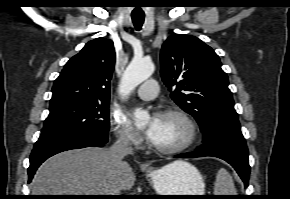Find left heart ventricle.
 Here are the masks:
<instances>
[{
	"instance_id": "1",
	"label": "left heart ventricle",
	"mask_w": 290,
	"mask_h": 199,
	"mask_svg": "<svg viewBox=\"0 0 290 199\" xmlns=\"http://www.w3.org/2000/svg\"><path fill=\"white\" fill-rule=\"evenodd\" d=\"M157 127L151 142L162 148L182 145L189 136L188 126L176 116H158Z\"/></svg>"
}]
</instances>
